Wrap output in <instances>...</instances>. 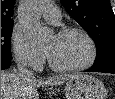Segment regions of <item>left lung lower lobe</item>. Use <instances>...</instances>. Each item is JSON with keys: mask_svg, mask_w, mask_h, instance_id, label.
I'll use <instances>...</instances> for the list:
<instances>
[{"mask_svg": "<svg viewBox=\"0 0 115 99\" xmlns=\"http://www.w3.org/2000/svg\"><path fill=\"white\" fill-rule=\"evenodd\" d=\"M86 72H104L115 74V64H110L98 68L92 66L90 69L86 70Z\"/></svg>", "mask_w": 115, "mask_h": 99, "instance_id": "1", "label": "left lung lower lobe"}]
</instances>
